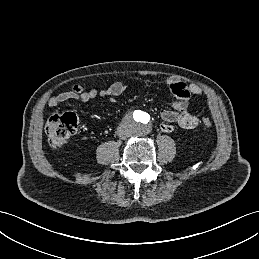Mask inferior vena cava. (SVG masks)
Wrapping results in <instances>:
<instances>
[{
  "instance_id": "obj_1",
  "label": "inferior vena cava",
  "mask_w": 259,
  "mask_h": 259,
  "mask_svg": "<svg viewBox=\"0 0 259 259\" xmlns=\"http://www.w3.org/2000/svg\"><path fill=\"white\" fill-rule=\"evenodd\" d=\"M118 136L121 138V139H126L128 137V134L127 133H124L122 131H118Z\"/></svg>"
}]
</instances>
